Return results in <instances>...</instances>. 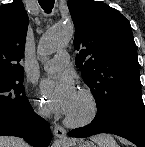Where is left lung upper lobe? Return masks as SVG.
<instances>
[{"mask_svg":"<svg viewBox=\"0 0 145 147\" xmlns=\"http://www.w3.org/2000/svg\"><path fill=\"white\" fill-rule=\"evenodd\" d=\"M75 26V63L96 100V119L143 103L137 49L130 22L116 9L93 0H69Z\"/></svg>","mask_w":145,"mask_h":147,"instance_id":"1","label":"left lung upper lobe"}]
</instances>
